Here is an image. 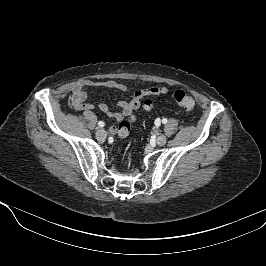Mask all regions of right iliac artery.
<instances>
[{
	"label": "right iliac artery",
	"mask_w": 266,
	"mask_h": 266,
	"mask_svg": "<svg viewBox=\"0 0 266 266\" xmlns=\"http://www.w3.org/2000/svg\"><path fill=\"white\" fill-rule=\"evenodd\" d=\"M104 125H105L104 122H102V121H99V122H98V126H99V127H104Z\"/></svg>",
	"instance_id": "1"
}]
</instances>
